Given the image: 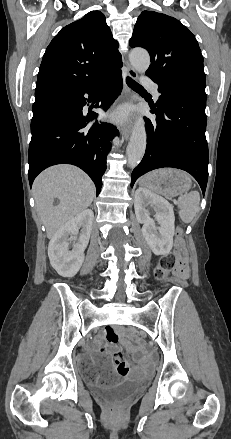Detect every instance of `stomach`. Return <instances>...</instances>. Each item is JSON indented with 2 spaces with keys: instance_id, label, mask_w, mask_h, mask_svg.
Instances as JSON below:
<instances>
[{
  "instance_id": "stomach-1",
  "label": "stomach",
  "mask_w": 231,
  "mask_h": 439,
  "mask_svg": "<svg viewBox=\"0 0 231 439\" xmlns=\"http://www.w3.org/2000/svg\"><path fill=\"white\" fill-rule=\"evenodd\" d=\"M141 184L166 197H174L191 188V179L183 171L166 168L148 173L141 179Z\"/></svg>"
}]
</instances>
